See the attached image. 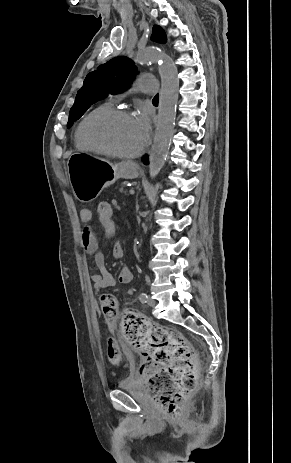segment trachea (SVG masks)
<instances>
[{"label":"trachea","instance_id":"3493384b","mask_svg":"<svg viewBox=\"0 0 291 463\" xmlns=\"http://www.w3.org/2000/svg\"><path fill=\"white\" fill-rule=\"evenodd\" d=\"M158 99H159V96L156 95V96L153 98V101H158Z\"/></svg>","mask_w":291,"mask_h":463}]
</instances>
